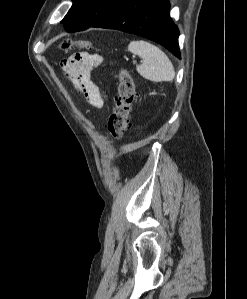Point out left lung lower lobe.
Instances as JSON below:
<instances>
[{"instance_id": "1", "label": "left lung lower lobe", "mask_w": 247, "mask_h": 299, "mask_svg": "<svg viewBox=\"0 0 247 299\" xmlns=\"http://www.w3.org/2000/svg\"><path fill=\"white\" fill-rule=\"evenodd\" d=\"M168 0H123L91 27L116 29L155 41L181 58L179 30L169 16Z\"/></svg>"}]
</instances>
